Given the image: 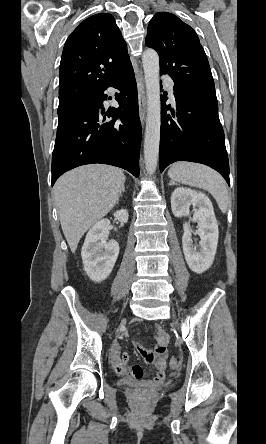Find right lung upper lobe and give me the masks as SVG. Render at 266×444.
Instances as JSON below:
<instances>
[{
    "label": "right lung upper lobe",
    "mask_w": 266,
    "mask_h": 444,
    "mask_svg": "<svg viewBox=\"0 0 266 444\" xmlns=\"http://www.w3.org/2000/svg\"><path fill=\"white\" fill-rule=\"evenodd\" d=\"M127 45L114 17L99 13L67 38L59 69V98L94 94L127 64Z\"/></svg>",
    "instance_id": "1"
}]
</instances>
